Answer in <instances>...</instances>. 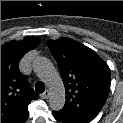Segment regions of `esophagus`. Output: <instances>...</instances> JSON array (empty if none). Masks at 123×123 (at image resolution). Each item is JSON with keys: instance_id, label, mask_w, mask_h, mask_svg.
Instances as JSON below:
<instances>
[{"instance_id": "esophagus-1", "label": "esophagus", "mask_w": 123, "mask_h": 123, "mask_svg": "<svg viewBox=\"0 0 123 123\" xmlns=\"http://www.w3.org/2000/svg\"><path fill=\"white\" fill-rule=\"evenodd\" d=\"M50 95V92L48 90L44 91L42 94H40V97L42 99H47Z\"/></svg>"}]
</instances>
